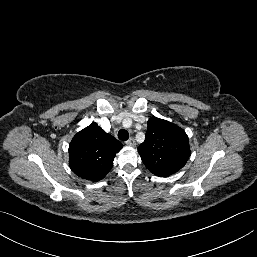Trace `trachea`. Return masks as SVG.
Returning a JSON list of instances; mask_svg holds the SVG:
<instances>
[{
  "label": "trachea",
  "mask_w": 257,
  "mask_h": 257,
  "mask_svg": "<svg viewBox=\"0 0 257 257\" xmlns=\"http://www.w3.org/2000/svg\"><path fill=\"white\" fill-rule=\"evenodd\" d=\"M118 138L121 140V141H126L128 140L129 138V134L128 132L125 130V129H122L118 132Z\"/></svg>",
  "instance_id": "trachea-1"
}]
</instances>
